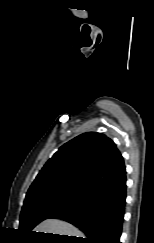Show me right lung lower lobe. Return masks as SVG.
Masks as SVG:
<instances>
[{"instance_id": "right-lung-lower-lobe-1", "label": "right lung lower lobe", "mask_w": 154, "mask_h": 243, "mask_svg": "<svg viewBox=\"0 0 154 243\" xmlns=\"http://www.w3.org/2000/svg\"><path fill=\"white\" fill-rule=\"evenodd\" d=\"M125 200L126 174L99 189L84 204L53 218L67 221L86 234L77 243H120Z\"/></svg>"}]
</instances>
